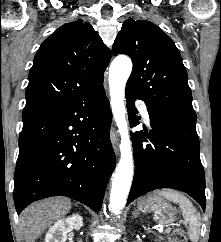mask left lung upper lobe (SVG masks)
<instances>
[{
  "label": "left lung upper lobe",
  "mask_w": 221,
  "mask_h": 242,
  "mask_svg": "<svg viewBox=\"0 0 221 242\" xmlns=\"http://www.w3.org/2000/svg\"><path fill=\"white\" fill-rule=\"evenodd\" d=\"M113 53L131 57L133 70L126 90L142 99L150 111L196 123L181 55L157 25L147 20H126Z\"/></svg>",
  "instance_id": "1"
}]
</instances>
